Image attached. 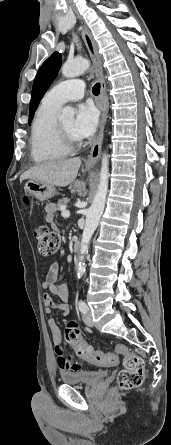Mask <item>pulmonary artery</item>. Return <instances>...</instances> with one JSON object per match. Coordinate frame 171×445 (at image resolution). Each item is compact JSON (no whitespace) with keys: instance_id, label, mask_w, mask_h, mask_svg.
Here are the masks:
<instances>
[{"instance_id":"pulmonary-artery-1","label":"pulmonary artery","mask_w":171,"mask_h":445,"mask_svg":"<svg viewBox=\"0 0 171 445\" xmlns=\"http://www.w3.org/2000/svg\"><path fill=\"white\" fill-rule=\"evenodd\" d=\"M84 90L85 85L81 80H66L51 88L46 93L43 102L60 107L66 102L81 99L84 96Z\"/></svg>"}]
</instances>
